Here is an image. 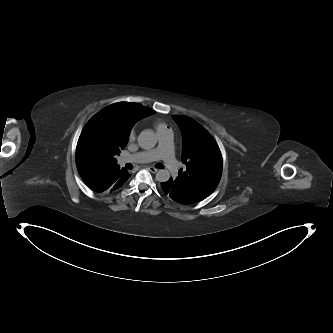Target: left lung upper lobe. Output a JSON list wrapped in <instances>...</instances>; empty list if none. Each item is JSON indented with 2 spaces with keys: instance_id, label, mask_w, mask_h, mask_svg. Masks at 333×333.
Instances as JSON below:
<instances>
[{
  "instance_id": "5c2ea615",
  "label": "left lung upper lobe",
  "mask_w": 333,
  "mask_h": 333,
  "mask_svg": "<svg viewBox=\"0 0 333 333\" xmlns=\"http://www.w3.org/2000/svg\"><path fill=\"white\" fill-rule=\"evenodd\" d=\"M183 138L182 163L185 168L172 180L200 201L217 187L222 173V157L213 137L195 120L172 116Z\"/></svg>"
}]
</instances>
